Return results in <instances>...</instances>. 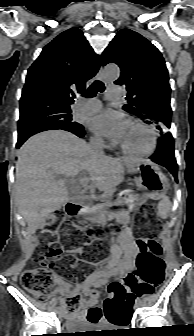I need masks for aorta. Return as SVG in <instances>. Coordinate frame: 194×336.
Wrapping results in <instances>:
<instances>
[{
  "label": "aorta",
  "instance_id": "obj_1",
  "mask_svg": "<svg viewBox=\"0 0 194 336\" xmlns=\"http://www.w3.org/2000/svg\"><path fill=\"white\" fill-rule=\"evenodd\" d=\"M120 71L117 65H107L103 69V75L105 78L115 80L119 77Z\"/></svg>",
  "mask_w": 194,
  "mask_h": 336
}]
</instances>
